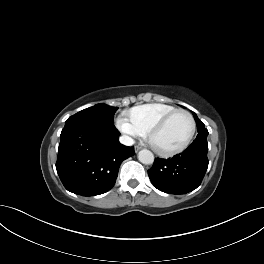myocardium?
I'll return each mask as SVG.
<instances>
[{"instance_id":"f54148a6","label":"myocardium","mask_w":264,"mask_h":264,"mask_svg":"<svg viewBox=\"0 0 264 264\" xmlns=\"http://www.w3.org/2000/svg\"><path fill=\"white\" fill-rule=\"evenodd\" d=\"M178 114H184L186 115L190 121H191V132L187 138V140L180 146L172 148V149H167V150H162L157 148L154 143H153V137L159 132L161 131L166 125L167 123L176 115ZM196 130H197V125H196V121L194 116L187 110L184 109H176L172 112H170L169 114H167L166 116H164L161 120H159L147 133V139L149 144L151 145L152 149L159 155L161 156H173L176 154H179L181 152H183L184 150H186L190 144L192 143L195 134H196Z\"/></svg>"}]
</instances>
